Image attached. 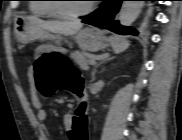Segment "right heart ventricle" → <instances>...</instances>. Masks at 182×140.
Wrapping results in <instances>:
<instances>
[{
	"label": "right heart ventricle",
	"mask_w": 182,
	"mask_h": 140,
	"mask_svg": "<svg viewBox=\"0 0 182 140\" xmlns=\"http://www.w3.org/2000/svg\"><path fill=\"white\" fill-rule=\"evenodd\" d=\"M49 0H32L29 4V11L37 16H56L53 6L50 3H46Z\"/></svg>",
	"instance_id": "obj_1"
}]
</instances>
